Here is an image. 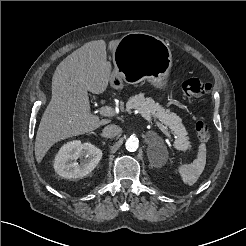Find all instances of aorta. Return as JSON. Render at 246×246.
<instances>
[{
  "mask_svg": "<svg viewBox=\"0 0 246 246\" xmlns=\"http://www.w3.org/2000/svg\"><path fill=\"white\" fill-rule=\"evenodd\" d=\"M125 146L129 152H134L139 147V141L134 137H130L129 139L126 140Z\"/></svg>",
  "mask_w": 246,
  "mask_h": 246,
  "instance_id": "1",
  "label": "aorta"
}]
</instances>
